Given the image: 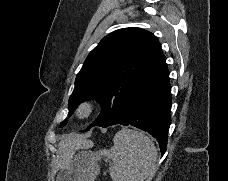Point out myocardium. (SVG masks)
Instances as JSON below:
<instances>
[{"label": "myocardium", "instance_id": "1", "mask_svg": "<svg viewBox=\"0 0 228 181\" xmlns=\"http://www.w3.org/2000/svg\"><path fill=\"white\" fill-rule=\"evenodd\" d=\"M88 110H89V108L86 105L81 107V113H86V112H88Z\"/></svg>", "mask_w": 228, "mask_h": 181}]
</instances>
